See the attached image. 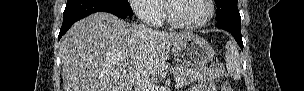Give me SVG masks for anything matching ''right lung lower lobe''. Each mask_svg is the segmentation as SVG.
<instances>
[{
	"label": "right lung lower lobe",
	"instance_id": "right-lung-lower-lobe-1",
	"mask_svg": "<svg viewBox=\"0 0 304 91\" xmlns=\"http://www.w3.org/2000/svg\"><path fill=\"white\" fill-rule=\"evenodd\" d=\"M109 12L120 18L130 17L115 6L113 0H68L63 14V23L58 39L78 20L95 12Z\"/></svg>",
	"mask_w": 304,
	"mask_h": 91
}]
</instances>
